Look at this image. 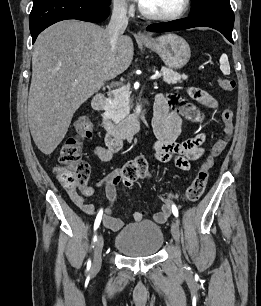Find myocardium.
<instances>
[{
    "instance_id": "myocardium-1",
    "label": "myocardium",
    "mask_w": 261,
    "mask_h": 306,
    "mask_svg": "<svg viewBox=\"0 0 261 306\" xmlns=\"http://www.w3.org/2000/svg\"><path fill=\"white\" fill-rule=\"evenodd\" d=\"M190 6H191V0H183L182 7L177 12L172 14H158L146 10L140 3L139 11L144 17L149 19L160 20V21H171L183 17L190 9Z\"/></svg>"
}]
</instances>
